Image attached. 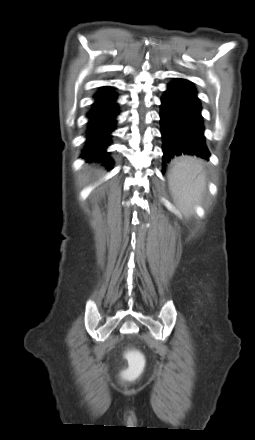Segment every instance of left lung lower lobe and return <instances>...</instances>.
<instances>
[{
    "mask_svg": "<svg viewBox=\"0 0 255 440\" xmlns=\"http://www.w3.org/2000/svg\"><path fill=\"white\" fill-rule=\"evenodd\" d=\"M160 124L163 167L183 154L207 159L201 103L194 85L182 78L171 81L161 98Z\"/></svg>",
    "mask_w": 255,
    "mask_h": 440,
    "instance_id": "1",
    "label": "left lung lower lobe"
}]
</instances>
